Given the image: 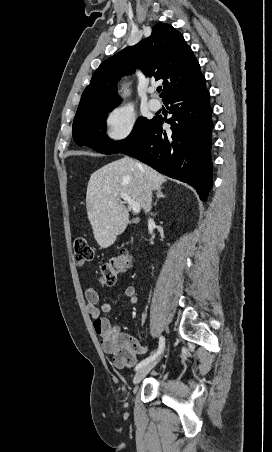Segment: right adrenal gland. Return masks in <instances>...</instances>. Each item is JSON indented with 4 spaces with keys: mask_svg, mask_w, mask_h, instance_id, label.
Wrapping results in <instances>:
<instances>
[{
    "mask_svg": "<svg viewBox=\"0 0 272 452\" xmlns=\"http://www.w3.org/2000/svg\"><path fill=\"white\" fill-rule=\"evenodd\" d=\"M156 196H157V199H156V201L153 204L154 206L157 205V202H158L159 198H164L165 197V195L162 193V188L161 187L159 189H157Z\"/></svg>",
    "mask_w": 272,
    "mask_h": 452,
    "instance_id": "obj_1",
    "label": "right adrenal gland"
}]
</instances>
